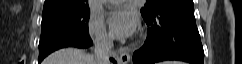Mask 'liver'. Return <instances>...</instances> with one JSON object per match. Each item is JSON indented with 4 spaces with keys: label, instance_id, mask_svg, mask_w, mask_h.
I'll use <instances>...</instances> for the list:
<instances>
[{
    "label": "liver",
    "instance_id": "1",
    "mask_svg": "<svg viewBox=\"0 0 242 64\" xmlns=\"http://www.w3.org/2000/svg\"><path fill=\"white\" fill-rule=\"evenodd\" d=\"M42 64H97V61L79 49L66 48L50 54Z\"/></svg>",
    "mask_w": 242,
    "mask_h": 64
}]
</instances>
